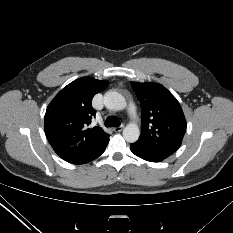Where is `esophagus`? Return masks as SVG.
I'll return each mask as SVG.
<instances>
[{
    "mask_svg": "<svg viewBox=\"0 0 233 233\" xmlns=\"http://www.w3.org/2000/svg\"><path fill=\"white\" fill-rule=\"evenodd\" d=\"M123 128H124V125H121V126H119V127L113 128V130H114L115 132H120V131H122Z\"/></svg>",
    "mask_w": 233,
    "mask_h": 233,
    "instance_id": "1",
    "label": "esophagus"
}]
</instances>
